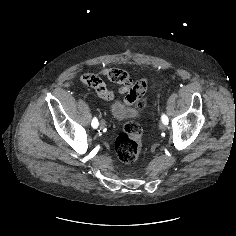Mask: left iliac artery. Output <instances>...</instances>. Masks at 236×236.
Instances as JSON below:
<instances>
[{
  "instance_id": "left-iliac-artery-1",
  "label": "left iliac artery",
  "mask_w": 236,
  "mask_h": 236,
  "mask_svg": "<svg viewBox=\"0 0 236 236\" xmlns=\"http://www.w3.org/2000/svg\"><path fill=\"white\" fill-rule=\"evenodd\" d=\"M161 120H162V122L164 123V124H168V117L165 115V114H162V116H161Z\"/></svg>"
}]
</instances>
